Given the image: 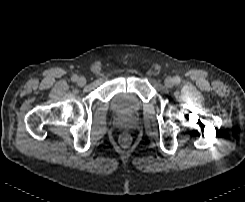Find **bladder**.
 Instances as JSON below:
<instances>
[{
    "label": "bladder",
    "instance_id": "obj_1",
    "mask_svg": "<svg viewBox=\"0 0 245 202\" xmlns=\"http://www.w3.org/2000/svg\"><path fill=\"white\" fill-rule=\"evenodd\" d=\"M142 106L140 98L128 91L116 93L109 102L110 111L121 116L135 114L142 109Z\"/></svg>",
    "mask_w": 245,
    "mask_h": 202
}]
</instances>
